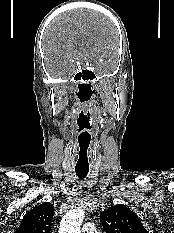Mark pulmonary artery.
I'll use <instances>...</instances> for the list:
<instances>
[{
	"label": "pulmonary artery",
	"mask_w": 174,
	"mask_h": 233,
	"mask_svg": "<svg viewBox=\"0 0 174 233\" xmlns=\"http://www.w3.org/2000/svg\"><path fill=\"white\" fill-rule=\"evenodd\" d=\"M82 233H96V227L92 223H86L82 227Z\"/></svg>",
	"instance_id": "obj_1"
}]
</instances>
